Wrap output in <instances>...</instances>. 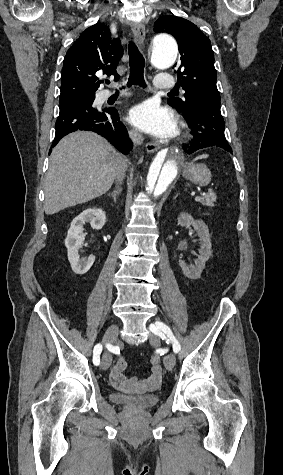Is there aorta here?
Wrapping results in <instances>:
<instances>
[{"instance_id": "obj_1", "label": "aorta", "mask_w": 283, "mask_h": 475, "mask_svg": "<svg viewBox=\"0 0 283 475\" xmlns=\"http://www.w3.org/2000/svg\"><path fill=\"white\" fill-rule=\"evenodd\" d=\"M154 62L160 69L172 66L177 58L178 46L173 37L159 34L153 38ZM184 154L179 148H166L153 159L143 187L142 208L152 213L169 191L183 166Z\"/></svg>"}]
</instances>
